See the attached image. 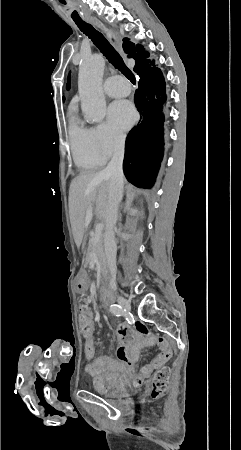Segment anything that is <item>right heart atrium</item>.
<instances>
[{"label": "right heart atrium", "instance_id": "d8ad5b80", "mask_svg": "<svg viewBox=\"0 0 241 450\" xmlns=\"http://www.w3.org/2000/svg\"><path fill=\"white\" fill-rule=\"evenodd\" d=\"M98 136L93 130L94 151L104 160L111 159L114 155H127L128 149L124 145L125 137L122 133L112 129L106 124L97 126Z\"/></svg>", "mask_w": 241, "mask_h": 450}]
</instances>
